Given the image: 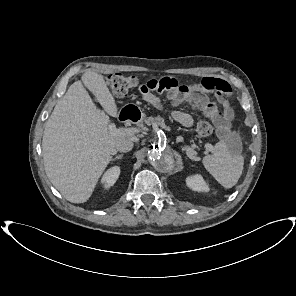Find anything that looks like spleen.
I'll return each mask as SVG.
<instances>
[{"label":"spleen","mask_w":296,"mask_h":296,"mask_svg":"<svg viewBox=\"0 0 296 296\" xmlns=\"http://www.w3.org/2000/svg\"><path fill=\"white\" fill-rule=\"evenodd\" d=\"M205 169L225 188L233 187L239 180L244 165L242 142L236 132L214 146V152L203 158Z\"/></svg>","instance_id":"3e777b00"}]
</instances>
